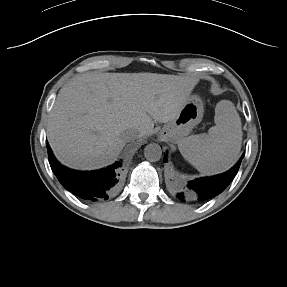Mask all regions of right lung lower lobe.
<instances>
[{
    "mask_svg": "<svg viewBox=\"0 0 287 287\" xmlns=\"http://www.w3.org/2000/svg\"><path fill=\"white\" fill-rule=\"evenodd\" d=\"M50 166L60 183L70 192L82 199L98 201L108 199L118 185L120 163L90 172H80L62 166L54 157L46 142Z\"/></svg>",
    "mask_w": 287,
    "mask_h": 287,
    "instance_id": "98d812e1",
    "label": "right lung lower lobe"
}]
</instances>
